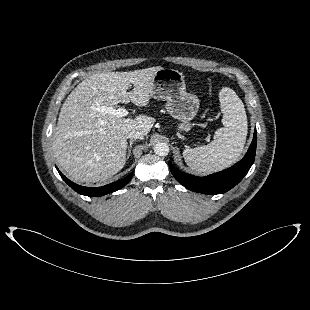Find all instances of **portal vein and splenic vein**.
I'll return each mask as SVG.
<instances>
[{
	"mask_svg": "<svg viewBox=\"0 0 310 310\" xmlns=\"http://www.w3.org/2000/svg\"><path fill=\"white\" fill-rule=\"evenodd\" d=\"M97 110L104 112V113H109L118 118H122L129 114V111L126 110L125 108L115 109L113 107L101 106V107H98Z\"/></svg>",
	"mask_w": 310,
	"mask_h": 310,
	"instance_id": "obj_1",
	"label": "portal vein and splenic vein"
}]
</instances>
